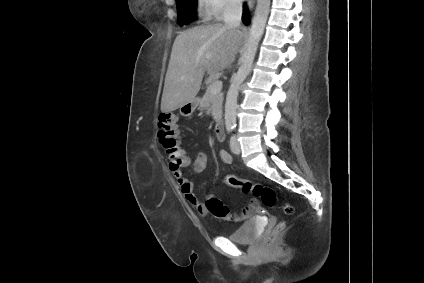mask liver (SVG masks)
<instances>
[{"mask_svg":"<svg viewBox=\"0 0 424 283\" xmlns=\"http://www.w3.org/2000/svg\"><path fill=\"white\" fill-rule=\"evenodd\" d=\"M242 32L221 23L200 25L175 39L166 73L161 111L168 113L192 102L205 72L216 75L235 61Z\"/></svg>","mask_w":424,"mask_h":283,"instance_id":"obj_1","label":"liver"}]
</instances>
